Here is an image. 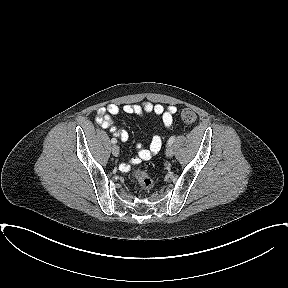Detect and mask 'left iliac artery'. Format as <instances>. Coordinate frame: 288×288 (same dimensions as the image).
Masks as SVG:
<instances>
[{
    "mask_svg": "<svg viewBox=\"0 0 288 288\" xmlns=\"http://www.w3.org/2000/svg\"><path fill=\"white\" fill-rule=\"evenodd\" d=\"M175 138H176L175 136H171L168 140V145H172L173 142L175 141Z\"/></svg>",
    "mask_w": 288,
    "mask_h": 288,
    "instance_id": "left-iliac-artery-1",
    "label": "left iliac artery"
}]
</instances>
